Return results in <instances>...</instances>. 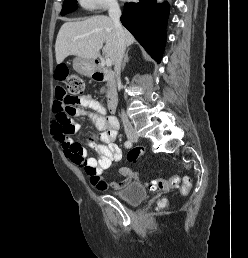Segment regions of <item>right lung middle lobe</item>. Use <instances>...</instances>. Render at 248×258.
I'll return each instance as SVG.
<instances>
[{
    "label": "right lung middle lobe",
    "instance_id": "dd1d6c3e",
    "mask_svg": "<svg viewBox=\"0 0 248 258\" xmlns=\"http://www.w3.org/2000/svg\"><path fill=\"white\" fill-rule=\"evenodd\" d=\"M76 1L77 0H64L61 15H65L71 11H74L76 8Z\"/></svg>",
    "mask_w": 248,
    "mask_h": 258
}]
</instances>
